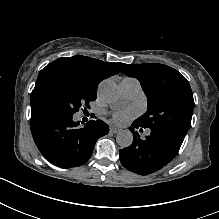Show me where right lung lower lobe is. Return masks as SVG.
I'll return each mask as SVG.
<instances>
[{"instance_id": "right-lung-lower-lobe-1", "label": "right lung lower lobe", "mask_w": 219, "mask_h": 219, "mask_svg": "<svg viewBox=\"0 0 219 219\" xmlns=\"http://www.w3.org/2000/svg\"><path fill=\"white\" fill-rule=\"evenodd\" d=\"M71 114L49 105L31 106L30 127L42 155L52 164L70 168L80 166L92 155L98 138L108 134L102 120L89 121L83 127Z\"/></svg>"}]
</instances>
